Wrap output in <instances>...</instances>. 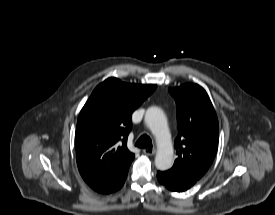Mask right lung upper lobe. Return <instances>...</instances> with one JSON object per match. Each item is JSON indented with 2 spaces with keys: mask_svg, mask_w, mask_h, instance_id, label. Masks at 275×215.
Wrapping results in <instances>:
<instances>
[{
  "mask_svg": "<svg viewBox=\"0 0 275 215\" xmlns=\"http://www.w3.org/2000/svg\"><path fill=\"white\" fill-rule=\"evenodd\" d=\"M156 87L108 78L94 89L79 114L75 134L78 169L90 187L128 172L134 159L127 148L131 116Z\"/></svg>",
  "mask_w": 275,
  "mask_h": 215,
  "instance_id": "cb5924a9",
  "label": "right lung upper lobe"
}]
</instances>
